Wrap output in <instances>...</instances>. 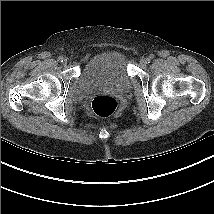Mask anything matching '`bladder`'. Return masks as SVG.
<instances>
[{"instance_id":"obj_1","label":"bladder","mask_w":214,"mask_h":214,"mask_svg":"<svg viewBox=\"0 0 214 214\" xmlns=\"http://www.w3.org/2000/svg\"><path fill=\"white\" fill-rule=\"evenodd\" d=\"M130 84L124 56L116 50H109L86 62L77 78L73 95L78 98L99 87H109L123 93Z\"/></svg>"}]
</instances>
